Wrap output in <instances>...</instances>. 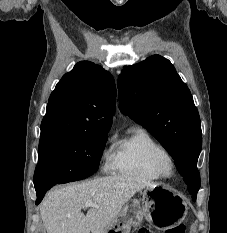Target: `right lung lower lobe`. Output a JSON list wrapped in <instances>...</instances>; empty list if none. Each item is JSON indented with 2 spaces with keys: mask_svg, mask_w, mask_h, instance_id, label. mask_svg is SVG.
Masks as SVG:
<instances>
[{
  "mask_svg": "<svg viewBox=\"0 0 227 233\" xmlns=\"http://www.w3.org/2000/svg\"><path fill=\"white\" fill-rule=\"evenodd\" d=\"M54 185L56 184H52V185H49V186H46V187H43V188H40L38 190H36V193H37V200H36V204L38 205L41 200L43 199L45 193L47 190H49L50 188H52Z\"/></svg>",
  "mask_w": 227,
  "mask_h": 233,
  "instance_id": "98d812e1",
  "label": "right lung lower lobe"
}]
</instances>
